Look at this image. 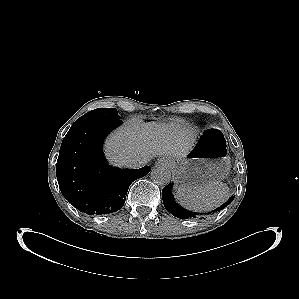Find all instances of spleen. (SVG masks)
I'll use <instances>...</instances> for the list:
<instances>
[{"mask_svg": "<svg viewBox=\"0 0 299 299\" xmlns=\"http://www.w3.org/2000/svg\"><path fill=\"white\" fill-rule=\"evenodd\" d=\"M229 192L226 183L214 181L197 188L180 185L177 188L176 197L185 208L201 212L223 204L228 199Z\"/></svg>", "mask_w": 299, "mask_h": 299, "instance_id": "1", "label": "spleen"}]
</instances>
